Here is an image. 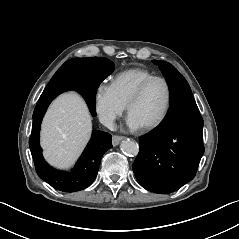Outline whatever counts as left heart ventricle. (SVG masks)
<instances>
[{"label": "left heart ventricle", "mask_w": 239, "mask_h": 239, "mask_svg": "<svg viewBox=\"0 0 239 239\" xmlns=\"http://www.w3.org/2000/svg\"><path fill=\"white\" fill-rule=\"evenodd\" d=\"M167 100L166 86L162 81L153 82L145 91L142 98L131 110L142 126L157 120L164 111Z\"/></svg>", "instance_id": "left-heart-ventricle-1"}]
</instances>
